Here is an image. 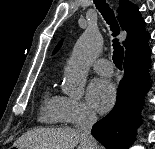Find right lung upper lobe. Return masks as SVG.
<instances>
[{
  "mask_svg": "<svg viewBox=\"0 0 155 149\" xmlns=\"http://www.w3.org/2000/svg\"><path fill=\"white\" fill-rule=\"evenodd\" d=\"M118 18L123 30L127 32L124 42L126 47L125 60L136 61L150 55L147 45L149 33L136 5L128 0L119 1Z\"/></svg>",
  "mask_w": 155,
  "mask_h": 149,
  "instance_id": "1",
  "label": "right lung upper lobe"
}]
</instances>
